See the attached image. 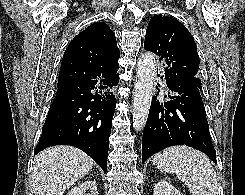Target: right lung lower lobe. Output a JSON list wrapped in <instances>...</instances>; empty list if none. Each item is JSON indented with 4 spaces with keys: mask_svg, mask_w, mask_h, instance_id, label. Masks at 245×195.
<instances>
[{
    "mask_svg": "<svg viewBox=\"0 0 245 195\" xmlns=\"http://www.w3.org/2000/svg\"><path fill=\"white\" fill-rule=\"evenodd\" d=\"M119 74L99 70L88 81L58 86L35 154L54 145L83 150L107 171V154Z\"/></svg>",
    "mask_w": 245,
    "mask_h": 195,
    "instance_id": "1",
    "label": "right lung lower lobe"
}]
</instances>
